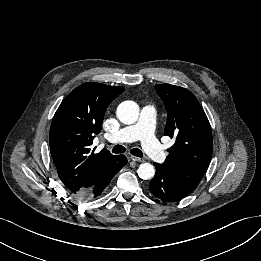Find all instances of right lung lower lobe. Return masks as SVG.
I'll use <instances>...</instances> for the list:
<instances>
[{"label":"right lung lower lobe","mask_w":261,"mask_h":261,"mask_svg":"<svg viewBox=\"0 0 261 261\" xmlns=\"http://www.w3.org/2000/svg\"><path fill=\"white\" fill-rule=\"evenodd\" d=\"M127 158L124 155L114 156L101 171L97 181L90 188L78 196L83 199H93L102 195L107 186L110 184L111 179L117 172L126 165Z\"/></svg>","instance_id":"1"}]
</instances>
